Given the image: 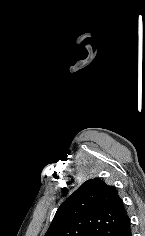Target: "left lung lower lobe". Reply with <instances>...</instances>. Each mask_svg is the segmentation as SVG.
<instances>
[{"label":"left lung lower lobe","instance_id":"1","mask_svg":"<svg viewBox=\"0 0 145 236\" xmlns=\"http://www.w3.org/2000/svg\"><path fill=\"white\" fill-rule=\"evenodd\" d=\"M119 236H131V225H129L121 232Z\"/></svg>","mask_w":145,"mask_h":236}]
</instances>
